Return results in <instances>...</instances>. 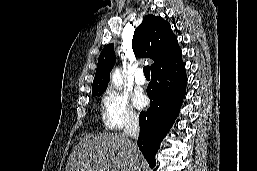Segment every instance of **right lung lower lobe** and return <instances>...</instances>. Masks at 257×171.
Returning <instances> with one entry per match:
<instances>
[{"label": "right lung lower lobe", "instance_id": "1", "mask_svg": "<svg viewBox=\"0 0 257 171\" xmlns=\"http://www.w3.org/2000/svg\"><path fill=\"white\" fill-rule=\"evenodd\" d=\"M185 64L176 63L151 72L147 87L150 107L139 116L140 134L138 147L151 167L155 166V154L178 116L186 93Z\"/></svg>", "mask_w": 257, "mask_h": 171}]
</instances>
